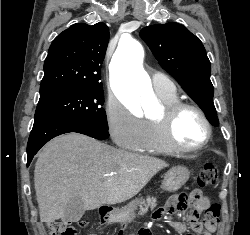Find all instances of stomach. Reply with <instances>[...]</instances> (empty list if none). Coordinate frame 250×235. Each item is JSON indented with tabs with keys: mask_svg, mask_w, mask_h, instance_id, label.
Listing matches in <instances>:
<instances>
[{
	"mask_svg": "<svg viewBox=\"0 0 250 235\" xmlns=\"http://www.w3.org/2000/svg\"><path fill=\"white\" fill-rule=\"evenodd\" d=\"M190 171L184 166H175L171 168L164 177L161 188L164 191L176 192L178 191L189 179ZM139 201L135 200L127 205L125 208L119 210L115 215L117 221H130L134 217V209Z\"/></svg>",
	"mask_w": 250,
	"mask_h": 235,
	"instance_id": "1",
	"label": "stomach"
}]
</instances>
